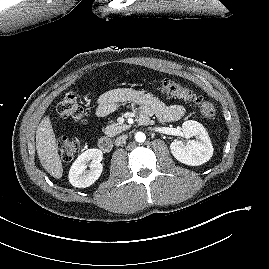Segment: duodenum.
Wrapping results in <instances>:
<instances>
[{"instance_id": "1", "label": "duodenum", "mask_w": 269, "mask_h": 269, "mask_svg": "<svg viewBox=\"0 0 269 269\" xmlns=\"http://www.w3.org/2000/svg\"><path fill=\"white\" fill-rule=\"evenodd\" d=\"M99 149L104 153H109L113 149V142L109 137H101L98 141Z\"/></svg>"}]
</instances>
